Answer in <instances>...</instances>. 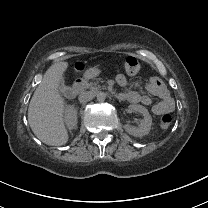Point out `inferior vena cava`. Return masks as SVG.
I'll return each mask as SVG.
<instances>
[{
  "label": "inferior vena cava",
  "instance_id": "602c4592",
  "mask_svg": "<svg viewBox=\"0 0 208 208\" xmlns=\"http://www.w3.org/2000/svg\"><path fill=\"white\" fill-rule=\"evenodd\" d=\"M95 97L94 93L91 92V91H85V92H82L80 95H79V101L81 103H86L90 100H92L93 98Z\"/></svg>",
  "mask_w": 208,
  "mask_h": 208
}]
</instances>
